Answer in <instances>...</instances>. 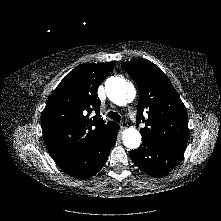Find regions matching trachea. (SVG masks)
Wrapping results in <instances>:
<instances>
[{
	"label": "trachea",
	"instance_id": "3493384b",
	"mask_svg": "<svg viewBox=\"0 0 221 221\" xmlns=\"http://www.w3.org/2000/svg\"><path fill=\"white\" fill-rule=\"evenodd\" d=\"M107 115H108L109 118L113 119L116 122L121 121V116L116 112L110 111V112H108Z\"/></svg>",
	"mask_w": 221,
	"mask_h": 221
}]
</instances>
